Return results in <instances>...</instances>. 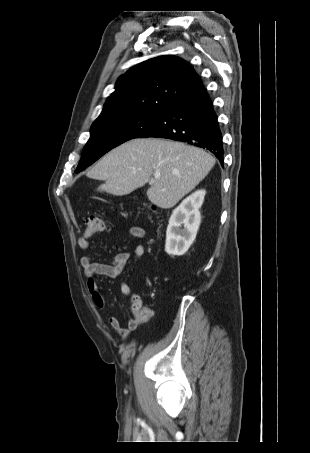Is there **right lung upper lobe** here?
<instances>
[{
    "instance_id": "cb5924a9",
    "label": "right lung upper lobe",
    "mask_w": 310,
    "mask_h": 453,
    "mask_svg": "<svg viewBox=\"0 0 310 453\" xmlns=\"http://www.w3.org/2000/svg\"><path fill=\"white\" fill-rule=\"evenodd\" d=\"M201 84L185 60L171 55L155 57L118 78L98 118L126 112L162 113Z\"/></svg>"
}]
</instances>
